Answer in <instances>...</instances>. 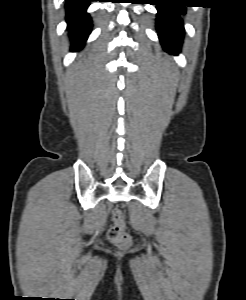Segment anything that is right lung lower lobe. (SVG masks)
<instances>
[{
	"label": "right lung lower lobe",
	"mask_w": 246,
	"mask_h": 300,
	"mask_svg": "<svg viewBox=\"0 0 246 300\" xmlns=\"http://www.w3.org/2000/svg\"><path fill=\"white\" fill-rule=\"evenodd\" d=\"M90 1L97 0H66V21L72 41V51L81 49L91 32V18L86 13Z\"/></svg>",
	"instance_id": "obj_1"
}]
</instances>
